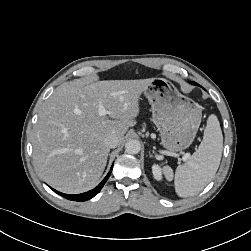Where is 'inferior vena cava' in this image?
Returning a JSON list of instances; mask_svg holds the SVG:
<instances>
[{"label": "inferior vena cava", "instance_id": "1", "mask_svg": "<svg viewBox=\"0 0 251 251\" xmlns=\"http://www.w3.org/2000/svg\"><path fill=\"white\" fill-rule=\"evenodd\" d=\"M104 143L109 148H116L119 145V139L116 135H109L105 138Z\"/></svg>", "mask_w": 251, "mask_h": 251}]
</instances>
